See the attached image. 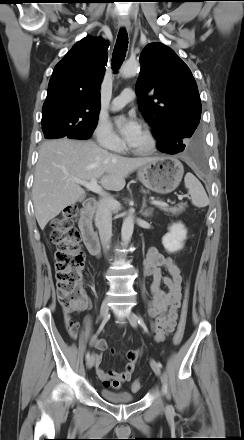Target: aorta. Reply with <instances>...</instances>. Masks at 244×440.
I'll return each mask as SVG.
<instances>
[{
  "label": "aorta",
  "instance_id": "762f6f07",
  "mask_svg": "<svg viewBox=\"0 0 244 440\" xmlns=\"http://www.w3.org/2000/svg\"><path fill=\"white\" fill-rule=\"evenodd\" d=\"M138 68H139L138 62L127 61L125 64L122 65L120 69V73L122 74L123 77H130L138 71ZM133 230H134V220L132 215H128L123 221L122 229H121V239L123 243L126 244L130 241L133 234Z\"/></svg>",
  "mask_w": 244,
  "mask_h": 440
}]
</instances>
